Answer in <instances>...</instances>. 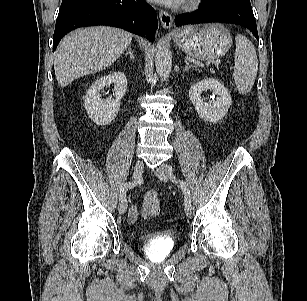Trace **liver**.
<instances>
[{
    "instance_id": "obj_1",
    "label": "liver",
    "mask_w": 307,
    "mask_h": 301,
    "mask_svg": "<svg viewBox=\"0 0 307 301\" xmlns=\"http://www.w3.org/2000/svg\"><path fill=\"white\" fill-rule=\"evenodd\" d=\"M133 35L106 26L77 29L55 51L54 70L58 84L66 87L75 79L102 71L127 49Z\"/></svg>"
}]
</instances>
